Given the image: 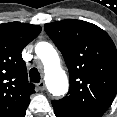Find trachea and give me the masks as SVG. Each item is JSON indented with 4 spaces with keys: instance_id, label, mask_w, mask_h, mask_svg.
I'll return each instance as SVG.
<instances>
[{
    "instance_id": "3493384b",
    "label": "trachea",
    "mask_w": 117,
    "mask_h": 117,
    "mask_svg": "<svg viewBox=\"0 0 117 117\" xmlns=\"http://www.w3.org/2000/svg\"><path fill=\"white\" fill-rule=\"evenodd\" d=\"M30 82L39 83L40 82V73L37 68H32L29 72Z\"/></svg>"
}]
</instances>
